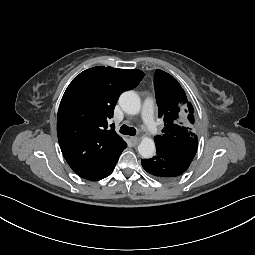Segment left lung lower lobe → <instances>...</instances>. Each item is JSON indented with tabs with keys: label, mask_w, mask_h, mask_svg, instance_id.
<instances>
[{
	"label": "left lung lower lobe",
	"mask_w": 255,
	"mask_h": 255,
	"mask_svg": "<svg viewBox=\"0 0 255 255\" xmlns=\"http://www.w3.org/2000/svg\"><path fill=\"white\" fill-rule=\"evenodd\" d=\"M197 142L183 146L156 147V155L151 159H143V168L151 175L170 180L183 174L191 164L196 151Z\"/></svg>",
	"instance_id": "left-lung-lower-lobe-1"
}]
</instances>
